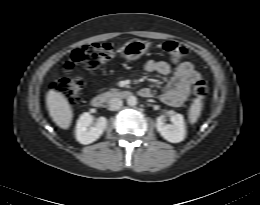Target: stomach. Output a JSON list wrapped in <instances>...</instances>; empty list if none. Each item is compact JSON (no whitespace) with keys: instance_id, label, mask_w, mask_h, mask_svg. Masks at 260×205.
Wrapping results in <instances>:
<instances>
[{"instance_id":"0dacf381","label":"stomach","mask_w":260,"mask_h":205,"mask_svg":"<svg viewBox=\"0 0 260 205\" xmlns=\"http://www.w3.org/2000/svg\"><path fill=\"white\" fill-rule=\"evenodd\" d=\"M149 46V43L146 41L132 39L123 45L121 54L126 60L133 61L145 54Z\"/></svg>"}]
</instances>
